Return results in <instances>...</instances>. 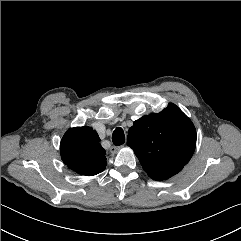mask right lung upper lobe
Masks as SVG:
<instances>
[{"label": "right lung upper lobe", "mask_w": 241, "mask_h": 241, "mask_svg": "<svg viewBox=\"0 0 241 241\" xmlns=\"http://www.w3.org/2000/svg\"><path fill=\"white\" fill-rule=\"evenodd\" d=\"M99 141L97 132L90 127L69 129L60 144L63 162L81 175L92 176L102 172L107 162Z\"/></svg>", "instance_id": "cb5924a9"}]
</instances>
